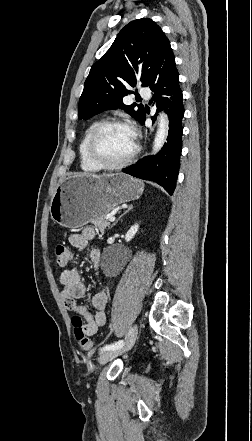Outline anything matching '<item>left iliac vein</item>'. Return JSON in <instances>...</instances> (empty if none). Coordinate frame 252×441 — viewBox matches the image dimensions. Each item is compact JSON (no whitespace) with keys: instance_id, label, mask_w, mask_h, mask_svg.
Masks as SVG:
<instances>
[{"instance_id":"left-iliac-vein-1","label":"left iliac vein","mask_w":252,"mask_h":441,"mask_svg":"<svg viewBox=\"0 0 252 441\" xmlns=\"http://www.w3.org/2000/svg\"><path fill=\"white\" fill-rule=\"evenodd\" d=\"M136 337H137V325H133L127 332L125 337V343L121 348L114 350H107L99 356L98 362L100 366L108 363L115 357L129 351L133 347Z\"/></svg>"}]
</instances>
